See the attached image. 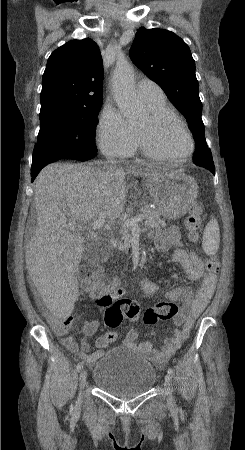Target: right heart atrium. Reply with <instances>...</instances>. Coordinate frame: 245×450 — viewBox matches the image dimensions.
Segmentation results:
<instances>
[{"label": "right heart atrium", "mask_w": 245, "mask_h": 450, "mask_svg": "<svg viewBox=\"0 0 245 450\" xmlns=\"http://www.w3.org/2000/svg\"><path fill=\"white\" fill-rule=\"evenodd\" d=\"M97 143L100 150L113 158H127L138 148L136 131L114 108H105L97 129Z\"/></svg>", "instance_id": "obj_1"}]
</instances>
